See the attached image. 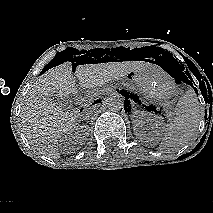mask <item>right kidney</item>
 Returning <instances> with one entry per match:
<instances>
[{"instance_id":"right-kidney-1","label":"right kidney","mask_w":213,"mask_h":213,"mask_svg":"<svg viewBox=\"0 0 213 213\" xmlns=\"http://www.w3.org/2000/svg\"><path fill=\"white\" fill-rule=\"evenodd\" d=\"M82 132V134H81ZM88 135V132H86V129L84 127H77L74 129L72 132L67 133L66 135L63 136L64 141L68 142H74V140H80V143L82 142V139H84L85 136Z\"/></svg>"}]
</instances>
